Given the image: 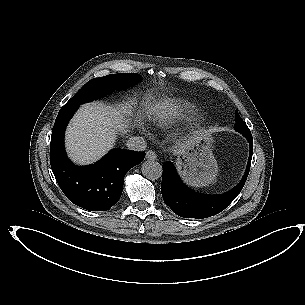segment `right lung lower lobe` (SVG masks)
<instances>
[{
    "label": "right lung lower lobe",
    "mask_w": 305,
    "mask_h": 305,
    "mask_svg": "<svg viewBox=\"0 0 305 305\" xmlns=\"http://www.w3.org/2000/svg\"><path fill=\"white\" fill-rule=\"evenodd\" d=\"M77 108L62 107L50 144V164L60 188L74 204L90 211H107L121 197L127 171L143 161L144 152L113 149L89 166L72 164L65 154L64 132Z\"/></svg>",
    "instance_id": "right-lung-lower-lobe-1"
}]
</instances>
